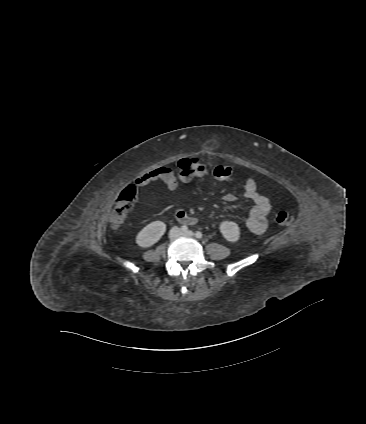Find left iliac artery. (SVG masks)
<instances>
[{"instance_id":"left-iliac-artery-1","label":"left iliac artery","mask_w":366,"mask_h":424,"mask_svg":"<svg viewBox=\"0 0 366 424\" xmlns=\"http://www.w3.org/2000/svg\"><path fill=\"white\" fill-rule=\"evenodd\" d=\"M196 238L201 239L203 237V234L200 231H197L195 233Z\"/></svg>"}]
</instances>
